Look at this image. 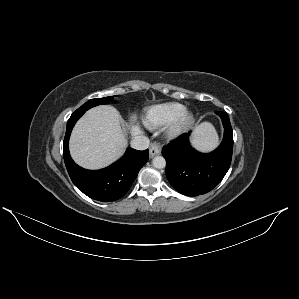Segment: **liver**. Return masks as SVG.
Returning a JSON list of instances; mask_svg holds the SVG:
<instances>
[{"instance_id":"1","label":"liver","mask_w":299,"mask_h":299,"mask_svg":"<svg viewBox=\"0 0 299 299\" xmlns=\"http://www.w3.org/2000/svg\"><path fill=\"white\" fill-rule=\"evenodd\" d=\"M131 133L142 134L138 123L131 126ZM194 136L196 143L204 148H213L218 143L214 129L208 124L199 125ZM69 147L73 160L86 169H101L113 163L127 147L118 111L110 105L88 110L76 123Z\"/></svg>"}]
</instances>
